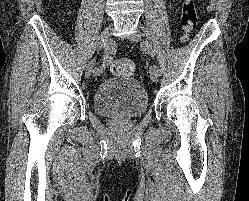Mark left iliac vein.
I'll return each mask as SVG.
<instances>
[{
  "mask_svg": "<svg viewBox=\"0 0 249 201\" xmlns=\"http://www.w3.org/2000/svg\"><path fill=\"white\" fill-rule=\"evenodd\" d=\"M130 39L134 42H139L141 41V33L139 32H136L135 34H133ZM159 74L157 72V70L155 68H151L150 69V77L152 79V81L156 82L158 81V78H159Z\"/></svg>",
  "mask_w": 249,
  "mask_h": 201,
  "instance_id": "obj_1",
  "label": "left iliac vein"
}]
</instances>
